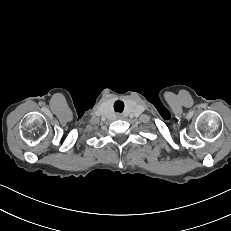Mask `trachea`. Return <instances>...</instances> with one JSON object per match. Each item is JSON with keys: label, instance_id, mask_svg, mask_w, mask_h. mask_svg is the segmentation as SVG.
Here are the masks:
<instances>
[{"label": "trachea", "instance_id": "3493384b", "mask_svg": "<svg viewBox=\"0 0 231 231\" xmlns=\"http://www.w3.org/2000/svg\"><path fill=\"white\" fill-rule=\"evenodd\" d=\"M124 109V103L122 101H116L114 103V110L116 112H122Z\"/></svg>", "mask_w": 231, "mask_h": 231}]
</instances>
